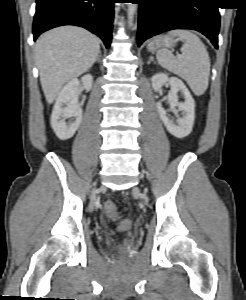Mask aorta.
<instances>
[{
	"instance_id": "762f6f07",
	"label": "aorta",
	"mask_w": 246,
	"mask_h": 300,
	"mask_svg": "<svg viewBox=\"0 0 246 300\" xmlns=\"http://www.w3.org/2000/svg\"><path fill=\"white\" fill-rule=\"evenodd\" d=\"M135 11H136V4L128 3L127 16H128L129 27L132 26Z\"/></svg>"
}]
</instances>
